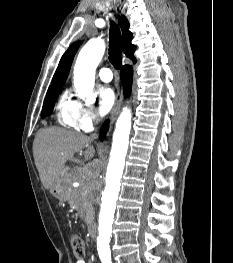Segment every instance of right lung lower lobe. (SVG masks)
<instances>
[{
  "instance_id": "98d812e1",
  "label": "right lung lower lobe",
  "mask_w": 233,
  "mask_h": 263,
  "mask_svg": "<svg viewBox=\"0 0 233 263\" xmlns=\"http://www.w3.org/2000/svg\"><path fill=\"white\" fill-rule=\"evenodd\" d=\"M136 60H134L135 62ZM121 80L123 82V89L125 96H128L131 91L132 86V78H133V70L132 67L129 65H125L121 69ZM108 129V121L103 125L102 131H101V138H103V135L106 133Z\"/></svg>"
}]
</instances>
